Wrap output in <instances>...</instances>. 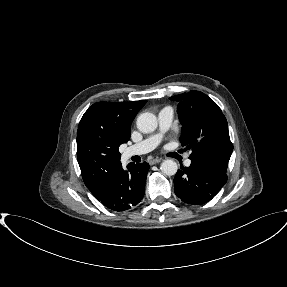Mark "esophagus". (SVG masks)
<instances>
[{
	"label": "esophagus",
	"instance_id": "esophagus-1",
	"mask_svg": "<svg viewBox=\"0 0 287 287\" xmlns=\"http://www.w3.org/2000/svg\"><path fill=\"white\" fill-rule=\"evenodd\" d=\"M161 161H162V158H160V157H155V158H152V159L149 160V164H150V165H154V164L159 163V162H161Z\"/></svg>",
	"mask_w": 287,
	"mask_h": 287
}]
</instances>
